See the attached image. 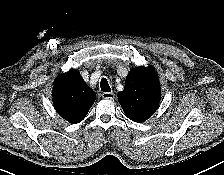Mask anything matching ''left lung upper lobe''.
Returning a JSON list of instances; mask_svg holds the SVG:
<instances>
[{
    "instance_id": "left-lung-upper-lobe-1",
    "label": "left lung upper lobe",
    "mask_w": 224,
    "mask_h": 175,
    "mask_svg": "<svg viewBox=\"0 0 224 175\" xmlns=\"http://www.w3.org/2000/svg\"><path fill=\"white\" fill-rule=\"evenodd\" d=\"M161 88L154 68L133 69L126 78L125 88L118 93V101L126 116L141 123L150 118L159 106Z\"/></svg>"
}]
</instances>
